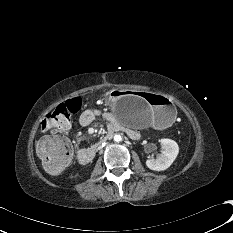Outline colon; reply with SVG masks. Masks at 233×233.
I'll return each mask as SVG.
<instances>
[{"mask_svg": "<svg viewBox=\"0 0 233 233\" xmlns=\"http://www.w3.org/2000/svg\"><path fill=\"white\" fill-rule=\"evenodd\" d=\"M82 99L75 97L60 104L42 121V129L47 133L42 137L36 149L46 171L51 174L61 173L72 157V147L69 140L55 135L56 130L66 129L69 119L82 108Z\"/></svg>", "mask_w": 233, "mask_h": 233, "instance_id": "obj_1", "label": "colon"}]
</instances>
